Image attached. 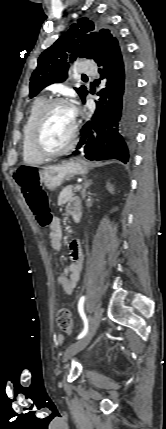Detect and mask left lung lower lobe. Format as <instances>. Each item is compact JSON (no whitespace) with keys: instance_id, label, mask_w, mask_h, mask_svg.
<instances>
[{"instance_id":"0a47b994","label":"left lung lower lobe","mask_w":166,"mask_h":429,"mask_svg":"<svg viewBox=\"0 0 166 429\" xmlns=\"http://www.w3.org/2000/svg\"><path fill=\"white\" fill-rule=\"evenodd\" d=\"M94 61L106 85L98 93L94 116L81 129L74 154L81 149L89 160L117 159L126 164L137 125L138 92L133 65L118 38L109 45L99 42Z\"/></svg>"}]
</instances>
